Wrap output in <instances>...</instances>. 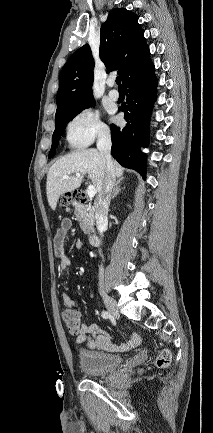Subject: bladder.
I'll use <instances>...</instances> for the list:
<instances>
[{
  "label": "bladder",
  "mask_w": 213,
  "mask_h": 433,
  "mask_svg": "<svg viewBox=\"0 0 213 433\" xmlns=\"http://www.w3.org/2000/svg\"><path fill=\"white\" fill-rule=\"evenodd\" d=\"M78 359L82 372L90 377H104L116 371L122 363L118 355L89 349L80 350Z\"/></svg>",
  "instance_id": "31cf9c89"
}]
</instances>
